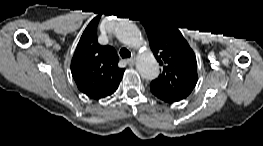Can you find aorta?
<instances>
[{
	"instance_id": "1",
	"label": "aorta",
	"mask_w": 263,
	"mask_h": 146,
	"mask_svg": "<svg viewBox=\"0 0 263 146\" xmlns=\"http://www.w3.org/2000/svg\"><path fill=\"white\" fill-rule=\"evenodd\" d=\"M120 40L132 48H138L142 45V37L139 30L132 25H125L118 31ZM136 68L140 75L152 80L159 74V65L151 52H144L138 56Z\"/></svg>"
}]
</instances>
